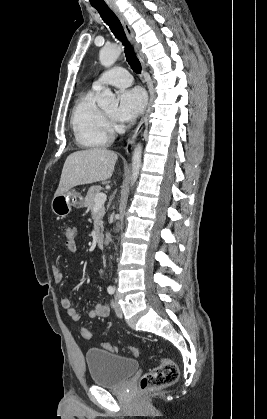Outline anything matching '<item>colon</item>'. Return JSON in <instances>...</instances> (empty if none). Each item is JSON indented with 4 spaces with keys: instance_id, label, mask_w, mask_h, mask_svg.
<instances>
[{
    "instance_id": "colon-1",
    "label": "colon",
    "mask_w": 267,
    "mask_h": 419,
    "mask_svg": "<svg viewBox=\"0 0 267 419\" xmlns=\"http://www.w3.org/2000/svg\"><path fill=\"white\" fill-rule=\"evenodd\" d=\"M63 236L65 244L70 246L77 244L76 228L74 226L67 225L63 229ZM80 333L84 339H90L91 337V333L87 328H82ZM103 347L111 352L116 351V347L111 343H103ZM128 350L131 355L135 357L138 355V349L136 347L130 346ZM178 377V365L167 357H160L159 364L142 376L140 388L143 391H147L167 387L173 385L178 380Z\"/></svg>"
}]
</instances>
